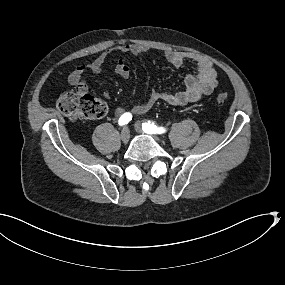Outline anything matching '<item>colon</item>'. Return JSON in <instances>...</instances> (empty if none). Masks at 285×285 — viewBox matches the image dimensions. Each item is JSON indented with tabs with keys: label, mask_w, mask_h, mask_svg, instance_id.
<instances>
[{
	"label": "colon",
	"mask_w": 285,
	"mask_h": 285,
	"mask_svg": "<svg viewBox=\"0 0 285 285\" xmlns=\"http://www.w3.org/2000/svg\"><path fill=\"white\" fill-rule=\"evenodd\" d=\"M216 99L223 103L228 99V93L219 92ZM56 107L71 121L99 119L107 113L104 101L77 89L61 94L56 101Z\"/></svg>",
	"instance_id": "colon-1"
}]
</instances>
